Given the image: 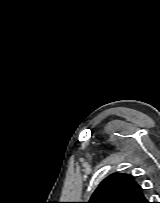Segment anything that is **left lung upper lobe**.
<instances>
[{"label": "left lung upper lobe", "mask_w": 160, "mask_h": 203, "mask_svg": "<svg viewBox=\"0 0 160 203\" xmlns=\"http://www.w3.org/2000/svg\"><path fill=\"white\" fill-rule=\"evenodd\" d=\"M143 191L131 175L114 173L100 183L88 203H149Z\"/></svg>", "instance_id": "obj_1"}]
</instances>
